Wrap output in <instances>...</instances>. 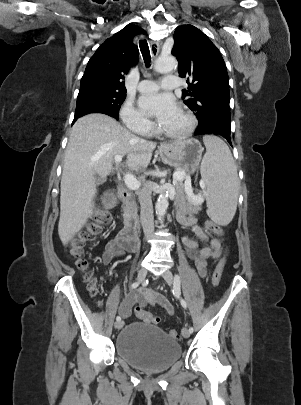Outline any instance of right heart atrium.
I'll return each instance as SVG.
<instances>
[{
  "label": "right heart atrium",
  "mask_w": 301,
  "mask_h": 405,
  "mask_svg": "<svg viewBox=\"0 0 301 405\" xmlns=\"http://www.w3.org/2000/svg\"><path fill=\"white\" fill-rule=\"evenodd\" d=\"M120 118L123 124L134 133L145 135L150 133L153 128L152 122L130 103L123 105L120 110Z\"/></svg>",
  "instance_id": "right-heart-atrium-1"
}]
</instances>
